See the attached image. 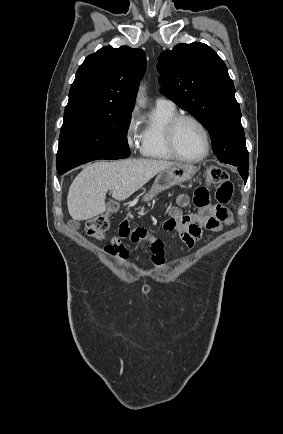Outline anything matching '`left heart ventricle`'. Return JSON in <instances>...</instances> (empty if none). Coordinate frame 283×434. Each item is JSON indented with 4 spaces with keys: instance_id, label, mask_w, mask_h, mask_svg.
<instances>
[{
    "instance_id": "left-heart-ventricle-1",
    "label": "left heart ventricle",
    "mask_w": 283,
    "mask_h": 434,
    "mask_svg": "<svg viewBox=\"0 0 283 434\" xmlns=\"http://www.w3.org/2000/svg\"><path fill=\"white\" fill-rule=\"evenodd\" d=\"M176 146L179 152L187 157H197L204 151L202 132L196 124L184 120L179 123L175 133Z\"/></svg>"
}]
</instances>
